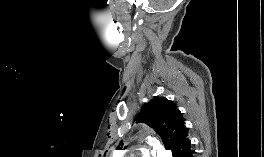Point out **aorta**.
<instances>
[{
    "instance_id": "aorta-1",
    "label": "aorta",
    "mask_w": 264,
    "mask_h": 157,
    "mask_svg": "<svg viewBox=\"0 0 264 157\" xmlns=\"http://www.w3.org/2000/svg\"><path fill=\"white\" fill-rule=\"evenodd\" d=\"M150 141H153V145L157 149V157H170V153L167 152L157 140L150 138Z\"/></svg>"
}]
</instances>
